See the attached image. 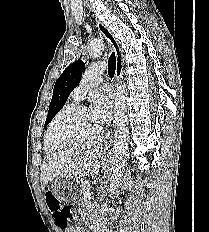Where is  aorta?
Wrapping results in <instances>:
<instances>
[{"label":"aorta","instance_id":"1","mask_svg":"<svg viewBox=\"0 0 209 232\" xmlns=\"http://www.w3.org/2000/svg\"><path fill=\"white\" fill-rule=\"evenodd\" d=\"M103 51V43L99 39H92L87 47V52L92 58H98ZM125 84L117 85L114 111V155L111 164V182L109 184V196L114 198L120 187L121 179L126 165V157L129 143V129L126 106Z\"/></svg>","mask_w":209,"mask_h":232}]
</instances>
